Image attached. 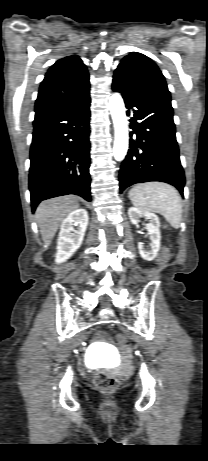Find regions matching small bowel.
Instances as JSON below:
<instances>
[{
    "label": "small bowel",
    "instance_id": "obj_1",
    "mask_svg": "<svg viewBox=\"0 0 208 461\" xmlns=\"http://www.w3.org/2000/svg\"><path fill=\"white\" fill-rule=\"evenodd\" d=\"M164 257H165V253L163 254L162 258H164Z\"/></svg>",
    "mask_w": 208,
    "mask_h": 461
}]
</instances>
